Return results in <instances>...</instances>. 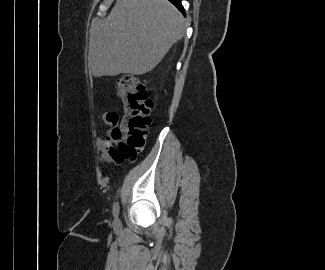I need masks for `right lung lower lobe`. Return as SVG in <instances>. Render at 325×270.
Here are the masks:
<instances>
[{
  "label": "right lung lower lobe",
  "instance_id": "98d812e1",
  "mask_svg": "<svg viewBox=\"0 0 325 270\" xmlns=\"http://www.w3.org/2000/svg\"><path fill=\"white\" fill-rule=\"evenodd\" d=\"M172 4H174L182 13H184V9L181 5V0H169Z\"/></svg>",
  "mask_w": 325,
  "mask_h": 270
}]
</instances>
